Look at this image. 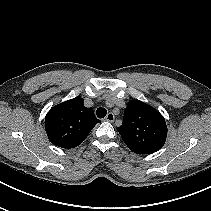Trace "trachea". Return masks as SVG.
<instances>
[{"mask_svg": "<svg viewBox=\"0 0 211 211\" xmlns=\"http://www.w3.org/2000/svg\"><path fill=\"white\" fill-rule=\"evenodd\" d=\"M96 114L98 118H104L107 114V110L105 108L100 107L97 109Z\"/></svg>", "mask_w": 211, "mask_h": 211, "instance_id": "trachea-1", "label": "trachea"}]
</instances>
